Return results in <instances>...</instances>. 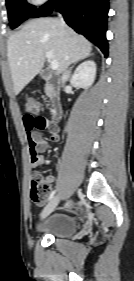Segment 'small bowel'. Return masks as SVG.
Masks as SVG:
<instances>
[{
	"instance_id": "obj_1",
	"label": "small bowel",
	"mask_w": 134,
	"mask_h": 281,
	"mask_svg": "<svg viewBox=\"0 0 134 281\" xmlns=\"http://www.w3.org/2000/svg\"><path fill=\"white\" fill-rule=\"evenodd\" d=\"M23 124L27 132L30 161L33 169L45 166L47 160L43 153L49 148L48 142L42 137L40 131L49 129L50 139L53 143L57 144L60 141V132L58 127L49 122L43 116L36 115L35 113H27L23 116ZM56 180V175L51 174L47 176L46 182L51 185Z\"/></svg>"
}]
</instances>
